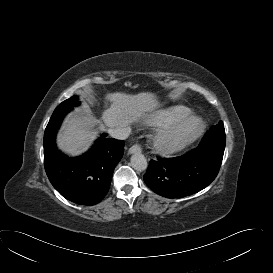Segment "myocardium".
Masks as SVG:
<instances>
[{
	"mask_svg": "<svg viewBox=\"0 0 273 273\" xmlns=\"http://www.w3.org/2000/svg\"><path fill=\"white\" fill-rule=\"evenodd\" d=\"M204 128L199 116H190L173 126L157 129L152 136V145L159 153L171 154L193 143Z\"/></svg>",
	"mask_w": 273,
	"mask_h": 273,
	"instance_id": "f54148a6",
	"label": "myocardium"
}]
</instances>
